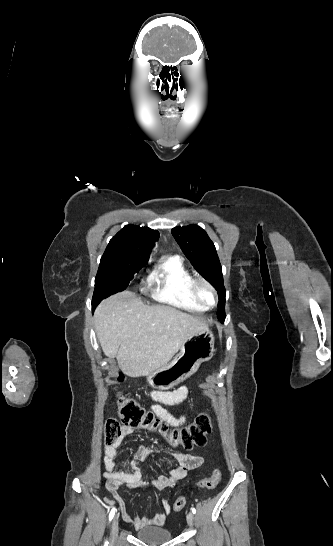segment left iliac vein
<instances>
[{
	"label": "left iliac vein",
	"mask_w": 333,
	"mask_h": 546,
	"mask_svg": "<svg viewBox=\"0 0 333 546\" xmlns=\"http://www.w3.org/2000/svg\"><path fill=\"white\" fill-rule=\"evenodd\" d=\"M186 518H187V523H188V525H189L190 527H192V526H193V523H194V514H193L192 512H189V513L187 514V517H186Z\"/></svg>",
	"instance_id": "obj_1"
}]
</instances>
